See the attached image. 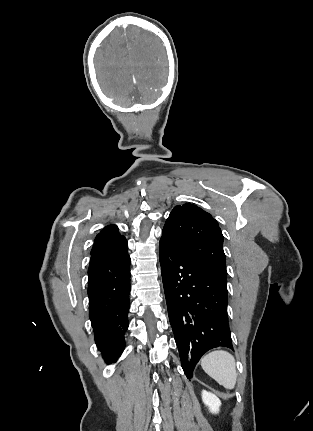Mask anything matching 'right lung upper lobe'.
I'll return each mask as SVG.
<instances>
[{"instance_id": "right-lung-upper-lobe-1", "label": "right lung upper lobe", "mask_w": 313, "mask_h": 431, "mask_svg": "<svg viewBox=\"0 0 313 431\" xmlns=\"http://www.w3.org/2000/svg\"><path fill=\"white\" fill-rule=\"evenodd\" d=\"M124 239L125 237L120 235L116 225H108L96 236L91 254Z\"/></svg>"}]
</instances>
